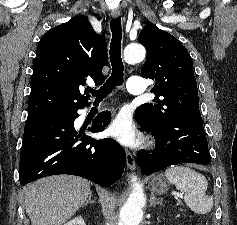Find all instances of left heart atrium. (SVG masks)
<instances>
[{
    "label": "left heart atrium",
    "mask_w": 237,
    "mask_h": 225,
    "mask_svg": "<svg viewBox=\"0 0 237 225\" xmlns=\"http://www.w3.org/2000/svg\"><path fill=\"white\" fill-rule=\"evenodd\" d=\"M108 134L125 145H134L137 136L132 120L127 113L119 114L108 128Z\"/></svg>",
    "instance_id": "left-heart-atrium-1"
}]
</instances>
